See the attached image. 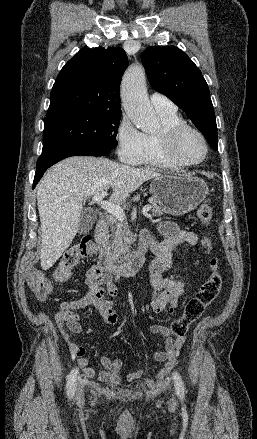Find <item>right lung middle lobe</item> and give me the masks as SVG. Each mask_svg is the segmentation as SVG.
<instances>
[{
	"label": "right lung middle lobe",
	"mask_w": 257,
	"mask_h": 439,
	"mask_svg": "<svg viewBox=\"0 0 257 439\" xmlns=\"http://www.w3.org/2000/svg\"><path fill=\"white\" fill-rule=\"evenodd\" d=\"M121 112L82 109L44 119L42 153L64 147L114 149Z\"/></svg>",
	"instance_id": "1"
}]
</instances>
